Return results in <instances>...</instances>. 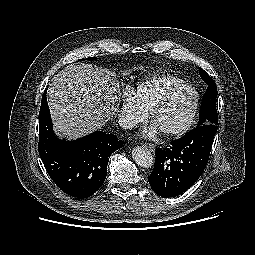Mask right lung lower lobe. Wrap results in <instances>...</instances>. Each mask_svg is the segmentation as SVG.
I'll use <instances>...</instances> for the list:
<instances>
[{
  "instance_id": "98d812e1",
  "label": "right lung lower lobe",
  "mask_w": 255,
  "mask_h": 255,
  "mask_svg": "<svg viewBox=\"0 0 255 255\" xmlns=\"http://www.w3.org/2000/svg\"><path fill=\"white\" fill-rule=\"evenodd\" d=\"M45 90L39 111L38 150L47 173L65 193L87 198L103 184L111 154L123 146L116 135L95 131L74 141L56 137Z\"/></svg>"
}]
</instances>
